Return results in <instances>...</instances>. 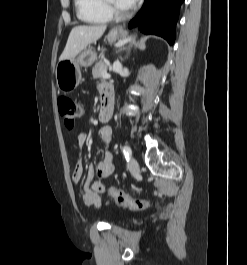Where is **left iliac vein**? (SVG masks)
Here are the masks:
<instances>
[{
    "instance_id": "obj_1",
    "label": "left iliac vein",
    "mask_w": 247,
    "mask_h": 265,
    "mask_svg": "<svg viewBox=\"0 0 247 265\" xmlns=\"http://www.w3.org/2000/svg\"><path fill=\"white\" fill-rule=\"evenodd\" d=\"M128 165L133 173H137L139 171V164L136 159L130 158Z\"/></svg>"
}]
</instances>
